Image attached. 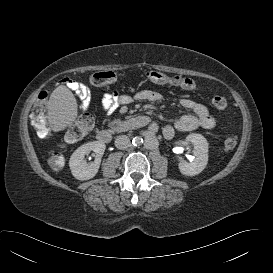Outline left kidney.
Here are the masks:
<instances>
[{"label": "left kidney", "instance_id": "obj_1", "mask_svg": "<svg viewBox=\"0 0 273 273\" xmlns=\"http://www.w3.org/2000/svg\"><path fill=\"white\" fill-rule=\"evenodd\" d=\"M187 141L194 146L192 161H181L178 168L183 175L195 176L201 173L208 163V148L209 144L204 136L201 134L192 133L186 137Z\"/></svg>", "mask_w": 273, "mask_h": 273}]
</instances>
